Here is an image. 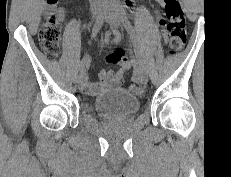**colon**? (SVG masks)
I'll return each instance as SVG.
<instances>
[{
    "instance_id": "5ec220e1",
    "label": "colon",
    "mask_w": 231,
    "mask_h": 177,
    "mask_svg": "<svg viewBox=\"0 0 231 177\" xmlns=\"http://www.w3.org/2000/svg\"><path fill=\"white\" fill-rule=\"evenodd\" d=\"M56 2L57 0H47L48 4ZM162 3L166 19H160L159 22L164 26V34L169 44V54L174 55L184 47L187 40L185 20L179 0H162ZM39 42L48 58L57 57L60 47V27L56 15L51 14L43 23L39 31ZM108 60L120 63L129 59L122 51L116 50L108 56ZM130 90L138 91V87L131 85Z\"/></svg>"
}]
</instances>
